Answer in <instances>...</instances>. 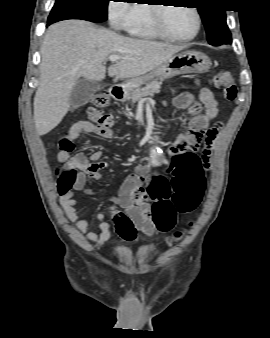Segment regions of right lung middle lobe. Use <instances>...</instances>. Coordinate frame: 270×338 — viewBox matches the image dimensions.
I'll return each instance as SVG.
<instances>
[{"mask_svg": "<svg viewBox=\"0 0 270 338\" xmlns=\"http://www.w3.org/2000/svg\"><path fill=\"white\" fill-rule=\"evenodd\" d=\"M110 0H56L48 23L66 19H82L103 22L107 19V6Z\"/></svg>", "mask_w": 270, "mask_h": 338, "instance_id": "right-lung-middle-lobe-1", "label": "right lung middle lobe"}]
</instances>
